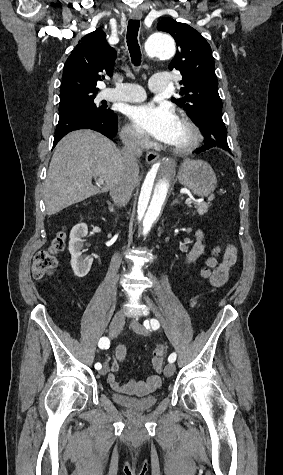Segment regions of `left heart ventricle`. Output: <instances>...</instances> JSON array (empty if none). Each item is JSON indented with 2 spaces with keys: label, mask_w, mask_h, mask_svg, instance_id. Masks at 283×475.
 <instances>
[{
  "label": "left heart ventricle",
  "mask_w": 283,
  "mask_h": 475,
  "mask_svg": "<svg viewBox=\"0 0 283 475\" xmlns=\"http://www.w3.org/2000/svg\"><path fill=\"white\" fill-rule=\"evenodd\" d=\"M175 137L174 139L169 143L170 146L172 147H179L181 145H183L187 138H188V132L186 130V128L184 127L182 121L180 120V118H178V125L175 129Z\"/></svg>",
  "instance_id": "b2bd125f"
}]
</instances>
